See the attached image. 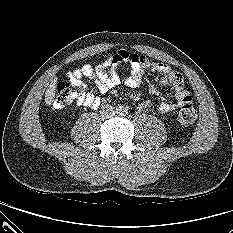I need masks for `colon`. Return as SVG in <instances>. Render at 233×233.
Wrapping results in <instances>:
<instances>
[{
    "label": "colon",
    "mask_w": 233,
    "mask_h": 233,
    "mask_svg": "<svg viewBox=\"0 0 233 233\" xmlns=\"http://www.w3.org/2000/svg\"><path fill=\"white\" fill-rule=\"evenodd\" d=\"M78 93L68 83L60 82L56 88V96L54 100L55 108H62L74 102ZM197 118V112L191 104H185L179 111V121L182 124H192Z\"/></svg>",
    "instance_id": "colon-1"
}]
</instances>
